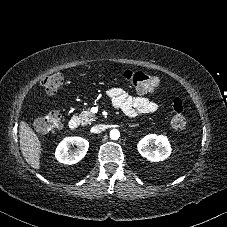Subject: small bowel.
Returning a JSON list of instances; mask_svg holds the SVG:
<instances>
[{
    "mask_svg": "<svg viewBox=\"0 0 227 227\" xmlns=\"http://www.w3.org/2000/svg\"><path fill=\"white\" fill-rule=\"evenodd\" d=\"M116 109L122 110L129 117L150 114L158 109V104L140 94L132 97L120 88H109L106 92Z\"/></svg>",
    "mask_w": 227,
    "mask_h": 227,
    "instance_id": "small-bowel-1",
    "label": "small bowel"
}]
</instances>
